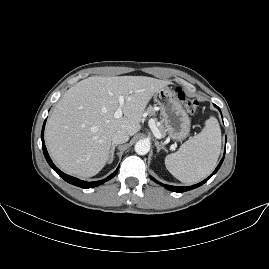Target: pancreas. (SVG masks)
I'll list each match as a JSON object with an SVG mask.
<instances>
[{"label": "pancreas", "instance_id": "1", "mask_svg": "<svg viewBox=\"0 0 269 269\" xmlns=\"http://www.w3.org/2000/svg\"><path fill=\"white\" fill-rule=\"evenodd\" d=\"M146 112L148 113L149 116H155L156 115V112H155L153 106H149L146 109ZM157 128L159 129L160 133L162 134V137H165L166 136V128H165V126L161 123L159 126H157Z\"/></svg>", "mask_w": 269, "mask_h": 269}]
</instances>
